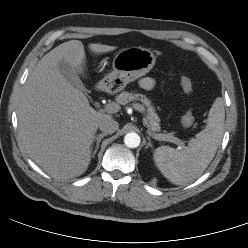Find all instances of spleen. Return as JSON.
Segmentation results:
<instances>
[{"label":"spleen","mask_w":248,"mask_h":248,"mask_svg":"<svg viewBox=\"0 0 248 248\" xmlns=\"http://www.w3.org/2000/svg\"><path fill=\"white\" fill-rule=\"evenodd\" d=\"M224 121L223 102L217 98L209 111L205 128L197 133L184 149L158 147L153 159L163 176L175 185H185L199 178L213 160L220 145Z\"/></svg>","instance_id":"obj_1"}]
</instances>
